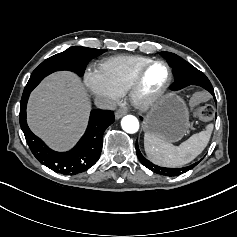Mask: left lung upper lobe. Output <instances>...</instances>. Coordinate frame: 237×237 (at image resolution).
Returning a JSON list of instances; mask_svg holds the SVG:
<instances>
[{"label":"left lung upper lobe","instance_id":"1","mask_svg":"<svg viewBox=\"0 0 237 237\" xmlns=\"http://www.w3.org/2000/svg\"><path fill=\"white\" fill-rule=\"evenodd\" d=\"M160 54L163 55L169 62L170 66L173 67L175 82L171 86L172 90L174 91L180 90L189 85L201 86L206 90L213 88L212 84L210 83L209 79L205 76L204 73L199 71L197 68H195L193 65H191L181 57L171 52H160ZM136 153L140 162L145 167L154 171L155 173L170 177L183 174L198 164L195 163L193 165L183 168H165L154 165L153 163H151L150 161H148L146 158L143 157V155L140 153V150L138 149L137 143H136Z\"/></svg>","mask_w":237,"mask_h":237}]
</instances>
